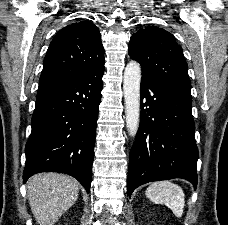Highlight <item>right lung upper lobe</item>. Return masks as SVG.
I'll return each mask as SVG.
<instances>
[{"label":"right lung upper lobe","instance_id":"obj_1","mask_svg":"<svg viewBox=\"0 0 228 225\" xmlns=\"http://www.w3.org/2000/svg\"><path fill=\"white\" fill-rule=\"evenodd\" d=\"M104 62L98 28L87 20L72 23L53 38L44 58L39 86L76 77Z\"/></svg>","mask_w":228,"mask_h":225}]
</instances>
